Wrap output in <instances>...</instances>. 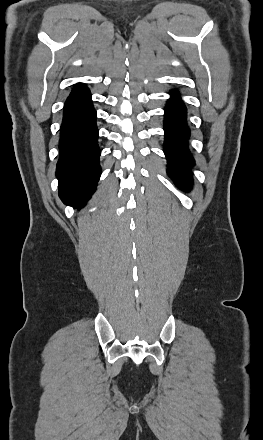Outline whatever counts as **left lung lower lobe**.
Here are the masks:
<instances>
[{"instance_id": "obj_1", "label": "left lung lower lobe", "mask_w": 263, "mask_h": 440, "mask_svg": "<svg viewBox=\"0 0 263 440\" xmlns=\"http://www.w3.org/2000/svg\"><path fill=\"white\" fill-rule=\"evenodd\" d=\"M165 109V142L164 153L168 160V174L175 184L189 190L192 186L190 168L194 159L186 144L190 131L186 123V108L178 92L172 91Z\"/></svg>"}]
</instances>
